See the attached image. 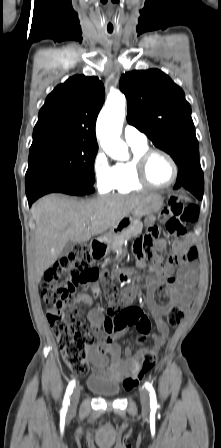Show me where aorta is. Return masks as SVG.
Masks as SVG:
<instances>
[{
  "label": "aorta",
  "instance_id": "1",
  "mask_svg": "<svg viewBox=\"0 0 221 448\" xmlns=\"http://www.w3.org/2000/svg\"><path fill=\"white\" fill-rule=\"evenodd\" d=\"M126 99L121 94L111 96L97 121V136L103 150L113 159H129L128 146L120 139L125 117Z\"/></svg>",
  "mask_w": 221,
  "mask_h": 448
}]
</instances>
